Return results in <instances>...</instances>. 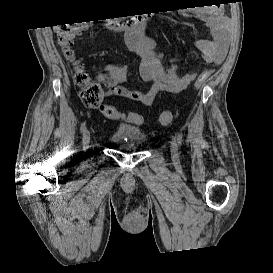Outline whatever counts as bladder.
Here are the masks:
<instances>
[{
    "instance_id": "31cf9c89",
    "label": "bladder",
    "mask_w": 273,
    "mask_h": 273,
    "mask_svg": "<svg viewBox=\"0 0 273 273\" xmlns=\"http://www.w3.org/2000/svg\"><path fill=\"white\" fill-rule=\"evenodd\" d=\"M109 141L121 150L133 151L144 146L147 137L133 125L120 124L110 135Z\"/></svg>"
}]
</instances>
